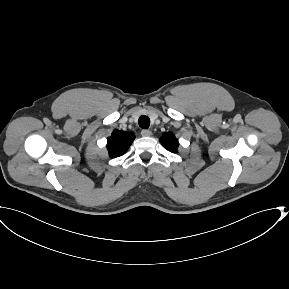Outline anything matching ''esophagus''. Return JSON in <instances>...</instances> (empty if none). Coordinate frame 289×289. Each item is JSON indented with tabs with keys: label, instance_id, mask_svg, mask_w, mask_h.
<instances>
[{
	"label": "esophagus",
	"instance_id": "obj_1",
	"mask_svg": "<svg viewBox=\"0 0 289 289\" xmlns=\"http://www.w3.org/2000/svg\"><path fill=\"white\" fill-rule=\"evenodd\" d=\"M141 135H142L143 137H149V136H151V131L148 130V129H143V130L141 131Z\"/></svg>",
	"mask_w": 289,
	"mask_h": 289
}]
</instances>
